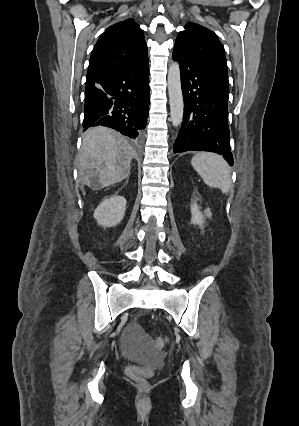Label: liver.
Here are the masks:
<instances>
[{"instance_id":"obj_1","label":"liver","mask_w":299,"mask_h":426,"mask_svg":"<svg viewBox=\"0 0 299 426\" xmlns=\"http://www.w3.org/2000/svg\"><path fill=\"white\" fill-rule=\"evenodd\" d=\"M134 157V150L115 131L106 127L89 129L78 156L79 179L93 189L108 187L128 177Z\"/></svg>"}]
</instances>
